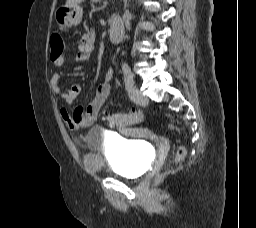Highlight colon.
Instances as JSON below:
<instances>
[{
    "mask_svg": "<svg viewBox=\"0 0 256 228\" xmlns=\"http://www.w3.org/2000/svg\"><path fill=\"white\" fill-rule=\"evenodd\" d=\"M64 50V41L59 34H54L51 37V56L57 57ZM143 116L140 112L133 113H112L107 115L106 123L111 126L122 127L135 125L142 121ZM170 128L176 130L175 126L170 125ZM186 148L184 146H180L175 154V162H180L186 156Z\"/></svg>",
    "mask_w": 256,
    "mask_h": 228,
    "instance_id": "5ec220e1",
    "label": "colon"
}]
</instances>
